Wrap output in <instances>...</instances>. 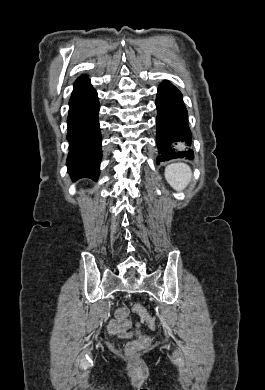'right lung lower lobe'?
<instances>
[{"label":"right lung lower lobe","mask_w":265,"mask_h":390,"mask_svg":"<svg viewBox=\"0 0 265 390\" xmlns=\"http://www.w3.org/2000/svg\"><path fill=\"white\" fill-rule=\"evenodd\" d=\"M68 172L72 179L97 180L101 161V134L98 122L99 101L97 92L86 75L79 77L69 101Z\"/></svg>","instance_id":"obj_1"}]
</instances>
